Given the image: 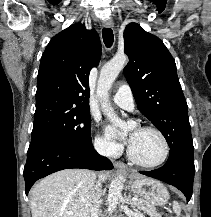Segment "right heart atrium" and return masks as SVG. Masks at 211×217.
Returning a JSON list of instances; mask_svg holds the SVG:
<instances>
[{
    "instance_id": "obj_1",
    "label": "right heart atrium",
    "mask_w": 211,
    "mask_h": 217,
    "mask_svg": "<svg viewBox=\"0 0 211 217\" xmlns=\"http://www.w3.org/2000/svg\"><path fill=\"white\" fill-rule=\"evenodd\" d=\"M94 146L98 152L107 156H117L122 150V147L119 144L100 135L96 136Z\"/></svg>"
}]
</instances>
